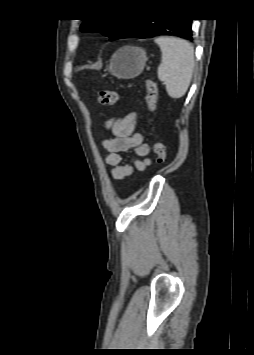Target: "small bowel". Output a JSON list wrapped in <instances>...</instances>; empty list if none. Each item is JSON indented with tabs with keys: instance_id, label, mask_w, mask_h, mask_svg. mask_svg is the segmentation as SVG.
<instances>
[{
	"instance_id": "small-bowel-1",
	"label": "small bowel",
	"mask_w": 254,
	"mask_h": 355,
	"mask_svg": "<svg viewBox=\"0 0 254 355\" xmlns=\"http://www.w3.org/2000/svg\"><path fill=\"white\" fill-rule=\"evenodd\" d=\"M137 113L131 112L122 118H110L105 127L113 137L103 140L102 144L107 150L106 163L112 166V176L117 180H126L131 177L134 169L146 170L151 160L148 158L150 147L144 141L140 132L135 131ZM133 150L135 158L129 163L123 162V153Z\"/></svg>"
}]
</instances>
